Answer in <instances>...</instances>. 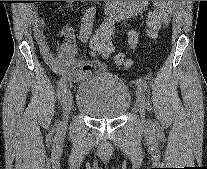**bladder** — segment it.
I'll use <instances>...</instances> for the list:
<instances>
[{
  "label": "bladder",
  "mask_w": 207,
  "mask_h": 169,
  "mask_svg": "<svg viewBox=\"0 0 207 169\" xmlns=\"http://www.w3.org/2000/svg\"><path fill=\"white\" fill-rule=\"evenodd\" d=\"M132 94L118 77L100 73L82 81L76 93L78 111L96 119H116L130 108Z\"/></svg>",
  "instance_id": "obj_1"
}]
</instances>
